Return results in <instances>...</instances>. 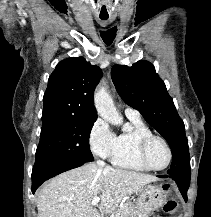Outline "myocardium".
Instances as JSON below:
<instances>
[{"mask_svg":"<svg viewBox=\"0 0 211 217\" xmlns=\"http://www.w3.org/2000/svg\"><path fill=\"white\" fill-rule=\"evenodd\" d=\"M155 140L161 141L166 146V148L168 150V155H169L168 162L164 167H161V168L154 167L148 159V149H149L151 143ZM138 152H139L140 160L143 163V165L146 168H148L149 170H153V171L165 170L166 168L169 167V165L171 164L172 159H173V152H172V148H171L169 142L164 137H162L160 135H156V134H150V135L143 137L139 143Z\"/></svg>","mask_w":211,"mask_h":217,"instance_id":"myocardium-1","label":"myocardium"}]
</instances>
